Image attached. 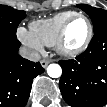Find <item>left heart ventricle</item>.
<instances>
[{
	"label": "left heart ventricle",
	"instance_id": "b2bd125f",
	"mask_svg": "<svg viewBox=\"0 0 107 107\" xmlns=\"http://www.w3.org/2000/svg\"><path fill=\"white\" fill-rule=\"evenodd\" d=\"M87 31L88 27L84 19H74L67 31L66 47L73 49L80 46L87 35Z\"/></svg>",
	"mask_w": 107,
	"mask_h": 107
}]
</instances>
